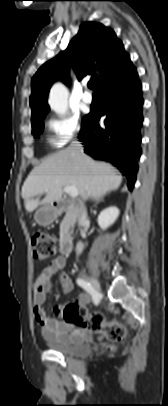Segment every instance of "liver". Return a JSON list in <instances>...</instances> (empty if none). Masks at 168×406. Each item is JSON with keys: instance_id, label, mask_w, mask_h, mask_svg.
<instances>
[{"instance_id": "obj_1", "label": "liver", "mask_w": 168, "mask_h": 406, "mask_svg": "<svg viewBox=\"0 0 168 406\" xmlns=\"http://www.w3.org/2000/svg\"><path fill=\"white\" fill-rule=\"evenodd\" d=\"M122 182L121 174L109 163L95 161L83 154L77 155L70 147L48 158L30 172L22 187V197L27 212L39 206L59 202L63 188L74 186L80 198L102 199L117 190ZM45 193L43 200L35 198Z\"/></svg>"}]
</instances>
